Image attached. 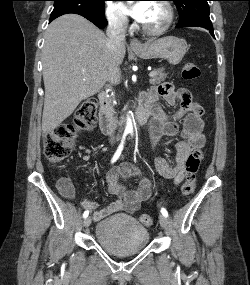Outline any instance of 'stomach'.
I'll return each instance as SVG.
<instances>
[{
  "label": "stomach",
  "mask_w": 250,
  "mask_h": 285,
  "mask_svg": "<svg viewBox=\"0 0 250 285\" xmlns=\"http://www.w3.org/2000/svg\"><path fill=\"white\" fill-rule=\"evenodd\" d=\"M134 53L142 59L160 58L177 65L186 53V46L183 39L166 36L145 43L142 50H135Z\"/></svg>",
  "instance_id": "1"
}]
</instances>
